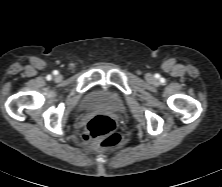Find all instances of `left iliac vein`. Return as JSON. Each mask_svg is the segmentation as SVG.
Listing matches in <instances>:
<instances>
[{
  "label": "left iliac vein",
  "mask_w": 222,
  "mask_h": 187,
  "mask_svg": "<svg viewBox=\"0 0 222 187\" xmlns=\"http://www.w3.org/2000/svg\"><path fill=\"white\" fill-rule=\"evenodd\" d=\"M151 78H152V77H151V76H149V77H148V80H151Z\"/></svg>",
  "instance_id": "1"
}]
</instances>
